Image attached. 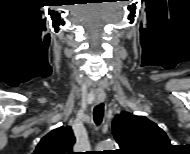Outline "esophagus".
<instances>
[{"label":"esophagus","instance_id":"esophagus-1","mask_svg":"<svg viewBox=\"0 0 190 154\" xmlns=\"http://www.w3.org/2000/svg\"><path fill=\"white\" fill-rule=\"evenodd\" d=\"M105 92L104 91H96L95 92V102L96 103H102L105 100Z\"/></svg>","mask_w":190,"mask_h":154}]
</instances>
